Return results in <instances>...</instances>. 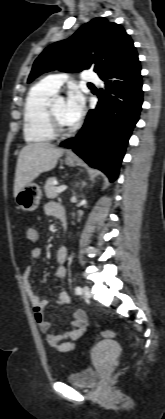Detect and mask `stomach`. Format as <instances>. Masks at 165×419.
I'll return each mask as SVG.
<instances>
[{
	"mask_svg": "<svg viewBox=\"0 0 165 419\" xmlns=\"http://www.w3.org/2000/svg\"><path fill=\"white\" fill-rule=\"evenodd\" d=\"M65 163L68 166H75V158L66 157ZM42 192L35 183H30L22 188L15 196V202L24 211H34L38 208Z\"/></svg>",
	"mask_w": 165,
	"mask_h": 419,
	"instance_id": "stomach-1",
	"label": "stomach"
}]
</instances>
